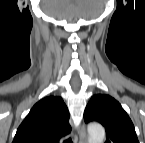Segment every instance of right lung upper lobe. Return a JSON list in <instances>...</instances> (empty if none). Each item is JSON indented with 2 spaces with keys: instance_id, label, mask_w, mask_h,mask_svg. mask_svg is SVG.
Listing matches in <instances>:
<instances>
[{
  "instance_id": "right-lung-upper-lobe-1",
  "label": "right lung upper lobe",
  "mask_w": 145,
  "mask_h": 143,
  "mask_svg": "<svg viewBox=\"0 0 145 143\" xmlns=\"http://www.w3.org/2000/svg\"><path fill=\"white\" fill-rule=\"evenodd\" d=\"M69 112L61 97L37 102L17 129L13 143H58L70 133Z\"/></svg>"
}]
</instances>
